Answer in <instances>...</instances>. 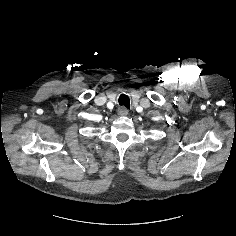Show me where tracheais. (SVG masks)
Returning a JSON list of instances; mask_svg holds the SVG:
<instances>
[{"label": "trachea", "instance_id": "3493384b", "mask_svg": "<svg viewBox=\"0 0 236 236\" xmlns=\"http://www.w3.org/2000/svg\"><path fill=\"white\" fill-rule=\"evenodd\" d=\"M118 102L120 105H123L126 108L130 107V99H129L128 95H125V94L120 95Z\"/></svg>", "mask_w": 236, "mask_h": 236}]
</instances>
